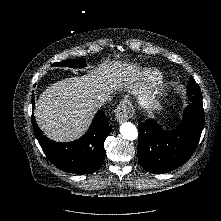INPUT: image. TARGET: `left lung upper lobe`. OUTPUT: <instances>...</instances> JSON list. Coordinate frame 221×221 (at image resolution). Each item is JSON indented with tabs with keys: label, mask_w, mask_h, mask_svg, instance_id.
Instances as JSON below:
<instances>
[{
	"label": "left lung upper lobe",
	"mask_w": 221,
	"mask_h": 221,
	"mask_svg": "<svg viewBox=\"0 0 221 221\" xmlns=\"http://www.w3.org/2000/svg\"><path fill=\"white\" fill-rule=\"evenodd\" d=\"M188 95L190 100L202 98L200 87L192 77L188 83Z\"/></svg>",
	"instance_id": "5c2ea615"
}]
</instances>
